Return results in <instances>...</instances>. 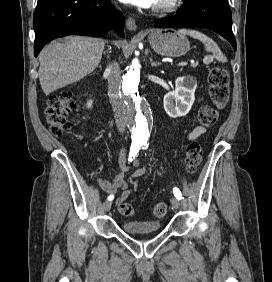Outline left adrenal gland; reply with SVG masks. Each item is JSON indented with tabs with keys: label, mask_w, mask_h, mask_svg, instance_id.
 Instances as JSON below:
<instances>
[{
	"label": "left adrenal gland",
	"mask_w": 272,
	"mask_h": 282,
	"mask_svg": "<svg viewBox=\"0 0 272 282\" xmlns=\"http://www.w3.org/2000/svg\"><path fill=\"white\" fill-rule=\"evenodd\" d=\"M150 62H151V65H152V66H159V65H161L160 62H154L153 59H152V57L150 58Z\"/></svg>",
	"instance_id": "a2214340"
}]
</instances>
